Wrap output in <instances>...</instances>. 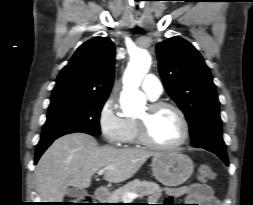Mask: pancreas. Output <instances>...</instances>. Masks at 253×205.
<instances>
[{
	"instance_id": "cf45deb5",
	"label": "pancreas",
	"mask_w": 253,
	"mask_h": 205,
	"mask_svg": "<svg viewBox=\"0 0 253 205\" xmlns=\"http://www.w3.org/2000/svg\"><path fill=\"white\" fill-rule=\"evenodd\" d=\"M136 193L140 197L148 196L151 201H157L161 197V188L158 184L151 181H140L138 179L133 180L125 186L115 190L110 198V203H124L123 196L128 193Z\"/></svg>"
}]
</instances>
